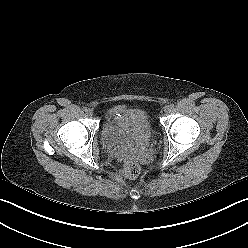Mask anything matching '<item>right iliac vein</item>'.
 Listing matches in <instances>:
<instances>
[{
  "label": "right iliac vein",
  "instance_id": "63e3f726",
  "mask_svg": "<svg viewBox=\"0 0 248 248\" xmlns=\"http://www.w3.org/2000/svg\"><path fill=\"white\" fill-rule=\"evenodd\" d=\"M86 113L89 115V116H92L93 115V110L92 109H87Z\"/></svg>",
  "mask_w": 248,
  "mask_h": 248
}]
</instances>
